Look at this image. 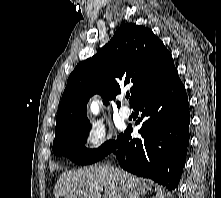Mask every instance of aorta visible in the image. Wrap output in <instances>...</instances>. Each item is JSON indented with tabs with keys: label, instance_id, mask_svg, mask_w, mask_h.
<instances>
[{
	"label": "aorta",
	"instance_id": "obj_1",
	"mask_svg": "<svg viewBox=\"0 0 221 198\" xmlns=\"http://www.w3.org/2000/svg\"><path fill=\"white\" fill-rule=\"evenodd\" d=\"M91 112L97 114L99 112V104L97 101H93L90 106Z\"/></svg>",
	"mask_w": 221,
	"mask_h": 198
}]
</instances>
